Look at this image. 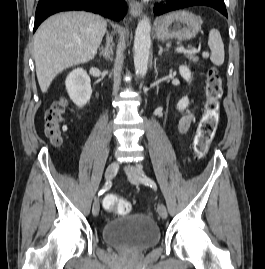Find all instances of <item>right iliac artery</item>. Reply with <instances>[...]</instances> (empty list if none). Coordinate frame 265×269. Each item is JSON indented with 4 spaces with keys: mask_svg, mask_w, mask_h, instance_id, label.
Wrapping results in <instances>:
<instances>
[{
    "mask_svg": "<svg viewBox=\"0 0 265 269\" xmlns=\"http://www.w3.org/2000/svg\"><path fill=\"white\" fill-rule=\"evenodd\" d=\"M111 185H112L111 181H107L103 186V188L99 191L98 195H102L105 191L109 190Z\"/></svg>",
    "mask_w": 265,
    "mask_h": 269,
    "instance_id": "1",
    "label": "right iliac artery"
}]
</instances>
